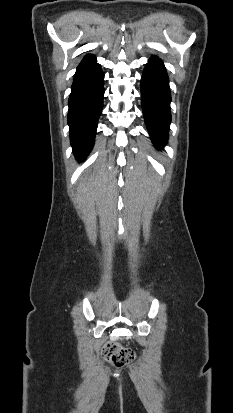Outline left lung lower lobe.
<instances>
[{
	"label": "left lung lower lobe",
	"mask_w": 233,
	"mask_h": 413,
	"mask_svg": "<svg viewBox=\"0 0 233 413\" xmlns=\"http://www.w3.org/2000/svg\"><path fill=\"white\" fill-rule=\"evenodd\" d=\"M171 93L168 75L161 59L152 56L141 79V103L145 123L157 148L167 143L171 122Z\"/></svg>",
	"instance_id": "1"
}]
</instances>
